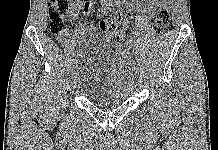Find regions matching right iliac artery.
<instances>
[{
  "label": "right iliac artery",
  "instance_id": "82829eb1",
  "mask_svg": "<svg viewBox=\"0 0 218 150\" xmlns=\"http://www.w3.org/2000/svg\"><path fill=\"white\" fill-rule=\"evenodd\" d=\"M80 60L79 56H77L74 61H76V64L78 63V61Z\"/></svg>",
  "mask_w": 218,
  "mask_h": 150
}]
</instances>
